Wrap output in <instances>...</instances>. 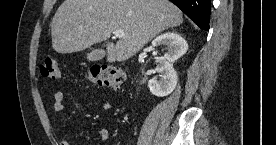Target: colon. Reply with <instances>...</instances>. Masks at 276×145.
<instances>
[{"label": "colon", "mask_w": 276, "mask_h": 145, "mask_svg": "<svg viewBox=\"0 0 276 145\" xmlns=\"http://www.w3.org/2000/svg\"><path fill=\"white\" fill-rule=\"evenodd\" d=\"M40 75L52 81L60 79V70L55 58H46L40 66ZM88 79L98 85L106 87H120L126 79L125 73L115 67L93 65L87 74Z\"/></svg>", "instance_id": "obj_1"}]
</instances>
